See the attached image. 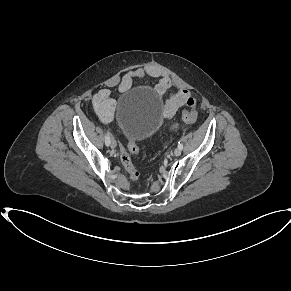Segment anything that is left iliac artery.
<instances>
[{"label": "left iliac artery", "mask_w": 291, "mask_h": 291, "mask_svg": "<svg viewBox=\"0 0 291 291\" xmlns=\"http://www.w3.org/2000/svg\"><path fill=\"white\" fill-rule=\"evenodd\" d=\"M178 147L180 148V149H183V143L180 141V142H178Z\"/></svg>", "instance_id": "left-iliac-artery-1"}]
</instances>
